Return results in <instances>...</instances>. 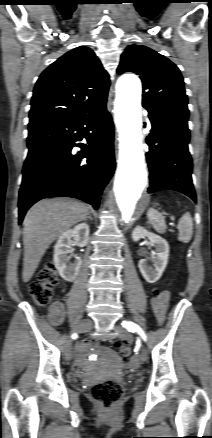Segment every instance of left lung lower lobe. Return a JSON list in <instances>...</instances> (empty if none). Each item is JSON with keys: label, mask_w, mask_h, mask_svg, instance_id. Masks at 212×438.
<instances>
[{"label": "left lung lower lobe", "mask_w": 212, "mask_h": 438, "mask_svg": "<svg viewBox=\"0 0 212 438\" xmlns=\"http://www.w3.org/2000/svg\"><path fill=\"white\" fill-rule=\"evenodd\" d=\"M152 129L146 159L150 171L148 193L179 191L196 201L192 183V159L188 151L190 131L186 120L149 113Z\"/></svg>", "instance_id": "0a47b994"}]
</instances>
